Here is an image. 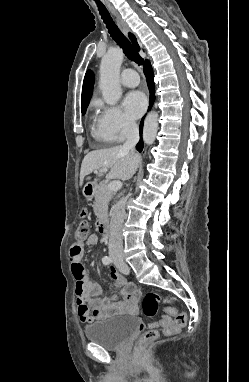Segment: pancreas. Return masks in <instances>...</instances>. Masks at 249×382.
Here are the masks:
<instances>
[{"label": "pancreas", "instance_id": "1", "mask_svg": "<svg viewBox=\"0 0 249 382\" xmlns=\"http://www.w3.org/2000/svg\"><path fill=\"white\" fill-rule=\"evenodd\" d=\"M113 192L108 189L105 183H100L96 187L95 201H94V213L97 218H102L107 215L108 204L112 199Z\"/></svg>", "mask_w": 249, "mask_h": 382}]
</instances>
